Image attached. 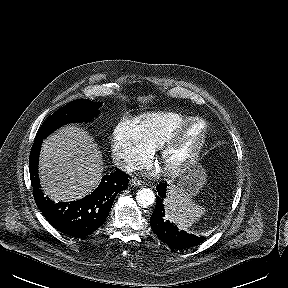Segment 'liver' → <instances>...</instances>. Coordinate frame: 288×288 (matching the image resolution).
<instances>
[{
  "label": "liver",
  "instance_id": "1",
  "mask_svg": "<svg viewBox=\"0 0 288 288\" xmlns=\"http://www.w3.org/2000/svg\"><path fill=\"white\" fill-rule=\"evenodd\" d=\"M39 159L40 184L55 202L85 197L102 178V154L93 138L76 126H65L50 135Z\"/></svg>",
  "mask_w": 288,
  "mask_h": 288
}]
</instances>
